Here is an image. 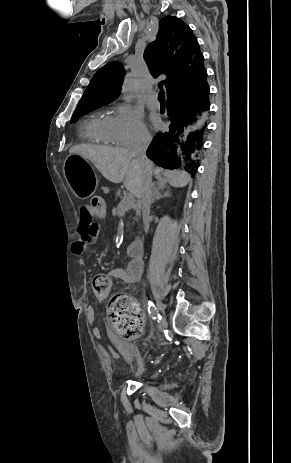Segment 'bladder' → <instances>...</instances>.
Returning a JSON list of instances; mask_svg holds the SVG:
<instances>
[{
  "instance_id": "1",
  "label": "bladder",
  "mask_w": 291,
  "mask_h": 463,
  "mask_svg": "<svg viewBox=\"0 0 291 463\" xmlns=\"http://www.w3.org/2000/svg\"><path fill=\"white\" fill-rule=\"evenodd\" d=\"M116 348L120 356L126 361H133L136 357V346L130 339H116Z\"/></svg>"
}]
</instances>
